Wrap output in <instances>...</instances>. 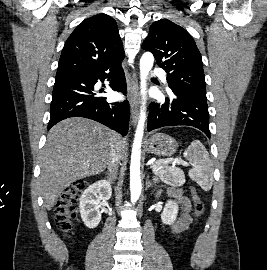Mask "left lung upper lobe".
<instances>
[{"mask_svg": "<svg viewBox=\"0 0 267 270\" xmlns=\"http://www.w3.org/2000/svg\"><path fill=\"white\" fill-rule=\"evenodd\" d=\"M142 48L152 52L157 65L168 73L171 90L206 99L201 54L184 28L170 20L160 19L150 26Z\"/></svg>", "mask_w": 267, "mask_h": 270, "instance_id": "obj_1", "label": "left lung upper lobe"}]
</instances>
